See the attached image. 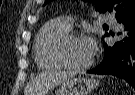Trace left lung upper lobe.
<instances>
[{"label": "left lung upper lobe", "instance_id": "left-lung-upper-lobe-1", "mask_svg": "<svg viewBox=\"0 0 135 95\" xmlns=\"http://www.w3.org/2000/svg\"><path fill=\"white\" fill-rule=\"evenodd\" d=\"M51 0H46L45 4ZM96 4V10L99 12L113 13L118 20L127 16L135 10V0H85ZM107 33L105 34V36Z\"/></svg>", "mask_w": 135, "mask_h": 95}]
</instances>
